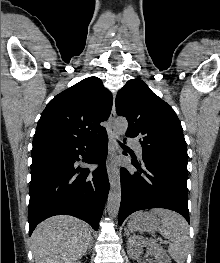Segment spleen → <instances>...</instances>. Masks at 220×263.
Returning <instances> with one entry per match:
<instances>
[{
	"instance_id": "1",
	"label": "spleen",
	"mask_w": 220,
	"mask_h": 263,
	"mask_svg": "<svg viewBox=\"0 0 220 263\" xmlns=\"http://www.w3.org/2000/svg\"><path fill=\"white\" fill-rule=\"evenodd\" d=\"M152 213L162 219L160 234L168 239V253L176 263H184L189 247V229L186 220L176 212L167 209H154Z\"/></svg>"
}]
</instances>
